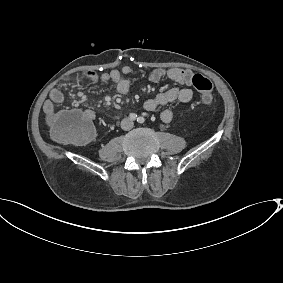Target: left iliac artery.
Instances as JSON below:
<instances>
[{"mask_svg":"<svg viewBox=\"0 0 283 283\" xmlns=\"http://www.w3.org/2000/svg\"><path fill=\"white\" fill-rule=\"evenodd\" d=\"M138 123H144V118L143 117H138L137 118Z\"/></svg>","mask_w":283,"mask_h":283,"instance_id":"left-iliac-artery-1","label":"left iliac artery"}]
</instances>
